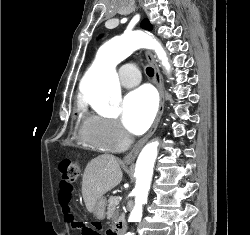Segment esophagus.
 Here are the masks:
<instances>
[{"label": "esophagus", "instance_id": "34e87169", "mask_svg": "<svg viewBox=\"0 0 250 235\" xmlns=\"http://www.w3.org/2000/svg\"><path fill=\"white\" fill-rule=\"evenodd\" d=\"M145 55H146L148 62L154 68V83L159 91L160 103H159V108H158L156 118H155L150 130L141 140L138 141V143L134 146V148L124 157V159H123L124 163H132L136 159L137 155L139 154V152L142 149V147L144 146V144L154 134V132L157 129L158 124L160 122L161 116L163 114L165 101H166L165 91H164V87L162 84L161 74H160V70H159V66L157 64V61L151 52L146 51Z\"/></svg>", "mask_w": 250, "mask_h": 235}]
</instances>
